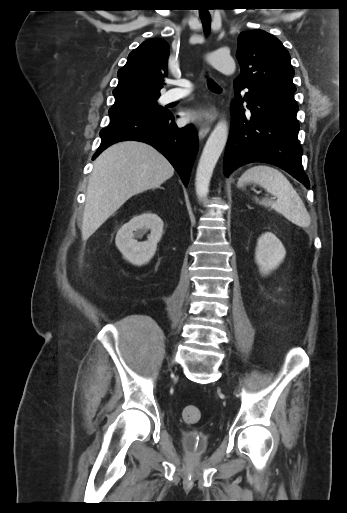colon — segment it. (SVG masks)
Wrapping results in <instances>:
<instances>
[{
  "label": "colon",
  "mask_w": 347,
  "mask_h": 513,
  "mask_svg": "<svg viewBox=\"0 0 347 513\" xmlns=\"http://www.w3.org/2000/svg\"><path fill=\"white\" fill-rule=\"evenodd\" d=\"M182 418L187 424H195L201 418V411L195 405H186L182 410Z\"/></svg>",
  "instance_id": "colon-1"
}]
</instances>
